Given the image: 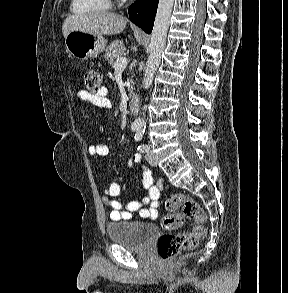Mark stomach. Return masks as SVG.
Instances as JSON below:
<instances>
[{
  "mask_svg": "<svg viewBox=\"0 0 288 293\" xmlns=\"http://www.w3.org/2000/svg\"><path fill=\"white\" fill-rule=\"evenodd\" d=\"M107 41L102 35L71 30L65 37L67 52L77 59L95 58L102 53Z\"/></svg>",
  "mask_w": 288,
  "mask_h": 293,
  "instance_id": "1",
  "label": "stomach"
}]
</instances>
